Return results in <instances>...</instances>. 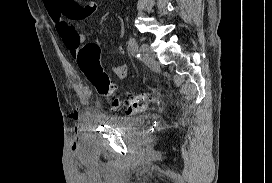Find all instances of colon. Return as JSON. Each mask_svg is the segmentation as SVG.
I'll use <instances>...</instances> for the list:
<instances>
[{"mask_svg": "<svg viewBox=\"0 0 272 183\" xmlns=\"http://www.w3.org/2000/svg\"><path fill=\"white\" fill-rule=\"evenodd\" d=\"M100 44L96 41L86 43L79 51L77 61L80 70L94 86L97 93L107 99L116 108L124 107L127 113L142 111L151 99L147 93L129 97L123 101L113 98V86L108 75L103 71L100 62Z\"/></svg>", "mask_w": 272, "mask_h": 183, "instance_id": "1", "label": "colon"}]
</instances>
